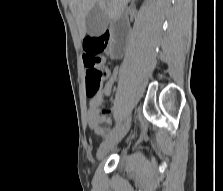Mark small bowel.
I'll list each match as a JSON object with an SVG mask.
<instances>
[{"label": "small bowel", "instance_id": "1", "mask_svg": "<svg viewBox=\"0 0 223 191\" xmlns=\"http://www.w3.org/2000/svg\"><path fill=\"white\" fill-rule=\"evenodd\" d=\"M117 72V68L114 67L102 90L96 96L92 97L89 103L90 106L87 112V122L89 127L99 136L106 135L110 131V125L113 123L112 118L102 113L100 106L104 97L110 95Z\"/></svg>", "mask_w": 223, "mask_h": 191}]
</instances>
